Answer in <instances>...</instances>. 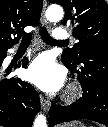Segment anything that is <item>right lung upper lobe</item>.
<instances>
[{
	"mask_svg": "<svg viewBox=\"0 0 108 127\" xmlns=\"http://www.w3.org/2000/svg\"><path fill=\"white\" fill-rule=\"evenodd\" d=\"M42 6L41 0H0V48L13 46L26 26L37 25Z\"/></svg>",
	"mask_w": 108,
	"mask_h": 127,
	"instance_id": "1",
	"label": "right lung upper lobe"
}]
</instances>
